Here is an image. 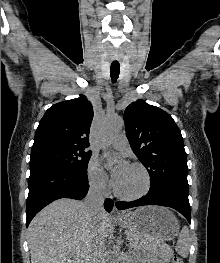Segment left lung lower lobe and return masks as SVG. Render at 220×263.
Returning a JSON list of instances; mask_svg holds the SVG:
<instances>
[{"mask_svg": "<svg viewBox=\"0 0 220 263\" xmlns=\"http://www.w3.org/2000/svg\"><path fill=\"white\" fill-rule=\"evenodd\" d=\"M143 205H160L171 207L179 211L190 223V204L188 193L172 187H160L149 192L142 198L131 202H116L119 210L128 209Z\"/></svg>", "mask_w": 220, "mask_h": 263, "instance_id": "0a47b994", "label": "left lung lower lobe"}]
</instances>
